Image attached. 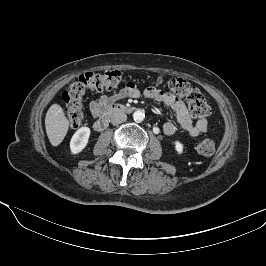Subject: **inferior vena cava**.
I'll use <instances>...</instances> for the list:
<instances>
[{
  "instance_id": "inferior-vena-cava-1",
  "label": "inferior vena cava",
  "mask_w": 266,
  "mask_h": 266,
  "mask_svg": "<svg viewBox=\"0 0 266 266\" xmlns=\"http://www.w3.org/2000/svg\"><path fill=\"white\" fill-rule=\"evenodd\" d=\"M127 120V115L124 112H115L111 116V123L113 125H118Z\"/></svg>"
}]
</instances>
